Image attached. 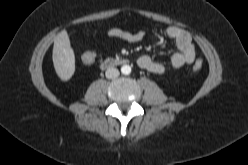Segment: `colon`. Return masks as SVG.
<instances>
[{
	"label": "colon",
	"mask_w": 248,
	"mask_h": 165,
	"mask_svg": "<svg viewBox=\"0 0 248 165\" xmlns=\"http://www.w3.org/2000/svg\"><path fill=\"white\" fill-rule=\"evenodd\" d=\"M95 59H96V54L93 51H86L82 55V62L86 65H90L94 63ZM202 67H203L202 61L197 60L193 65V71L198 72L202 69Z\"/></svg>",
	"instance_id": "1"
}]
</instances>
